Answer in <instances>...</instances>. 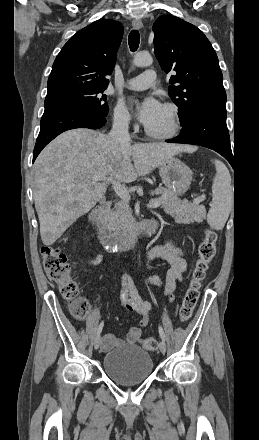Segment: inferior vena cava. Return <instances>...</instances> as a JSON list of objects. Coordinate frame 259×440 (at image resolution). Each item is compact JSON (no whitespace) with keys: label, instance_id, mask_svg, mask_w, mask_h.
<instances>
[{"label":"inferior vena cava","instance_id":"inferior-vena-cava-1","mask_svg":"<svg viewBox=\"0 0 259 440\" xmlns=\"http://www.w3.org/2000/svg\"><path fill=\"white\" fill-rule=\"evenodd\" d=\"M109 137L117 143H130L131 138L128 130V120H115L109 133Z\"/></svg>","mask_w":259,"mask_h":440}]
</instances>
